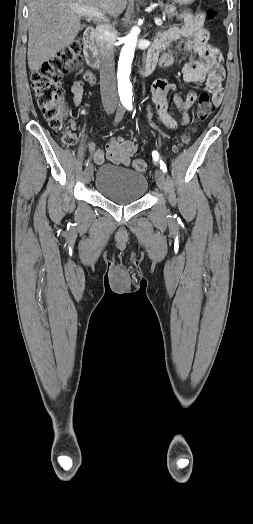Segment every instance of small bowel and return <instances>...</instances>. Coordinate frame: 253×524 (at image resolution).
I'll list each match as a JSON object with an SVG mask.
<instances>
[{
    "instance_id": "1",
    "label": "small bowel",
    "mask_w": 253,
    "mask_h": 524,
    "mask_svg": "<svg viewBox=\"0 0 253 524\" xmlns=\"http://www.w3.org/2000/svg\"><path fill=\"white\" fill-rule=\"evenodd\" d=\"M204 24L205 16L203 14L188 15L183 18L181 26L166 28L158 32L155 43L148 52L146 62L153 65V70L172 65L176 53L166 52V49L172 44L176 46L177 50H184L187 54L198 56V60H190L182 65L180 70L182 79L188 83L205 80L206 89L211 94L213 102L219 104L223 96L222 55L219 49L210 43V35ZM174 90L175 86L168 83L166 79L161 77L155 79L151 87V100L147 105L146 119L149 125L155 120L158 125L166 129H178L190 123L191 117L188 110L197 101V93L191 90L186 97L179 94L174 96V104L180 113V119L177 121L170 112L169 95ZM82 100L83 95L73 94L76 106H80ZM87 149L90 154L93 149H96L94 161L97 164H104L108 161L129 166L131 159L139 151V145L136 138L112 137L107 141L106 154L102 149L96 148L93 143H88Z\"/></svg>"
}]
</instances>
